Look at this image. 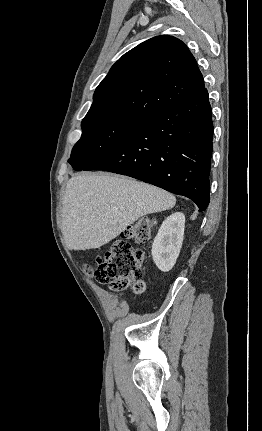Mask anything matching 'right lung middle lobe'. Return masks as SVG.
<instances>
[{
    "instance_id": "right-lung-middle-lobe-1",
    "label": "right lung middle lobe",
    "mask_w": 262,
    "mask_h": 431,
    "mask_svg": "<svg viewBox=\"0 0 262 431\" xmlns=\"http://www.w3.org/2000/svg\"><path fill=\"white\" fill-rule=\"evenodd\" d=\"M140 121H110L82 124V135L68 162L76 171L91 165L120 141Z\"/></svg>"
}]
</instances>
